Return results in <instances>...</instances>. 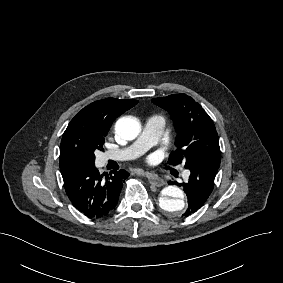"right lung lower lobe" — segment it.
<instances>
[{"label": "right lung lower lobe", "mask_w": 283, "mask_h": 283, "mask_svg": "<svg viewBox=\"0 0 283 283\" xmlns=\"http://www.w3.org/2000/svg\"><path fill=\"white\" fill-rule=\"evenodd\" d=\"M64 188L73 206L89 218H102L117 205L123 183L129 173L99 174L94 163L73 164L61 169Z\"/></svg>", "instance_id": "right-lung-lower-lobe-1"}]
</instances>
